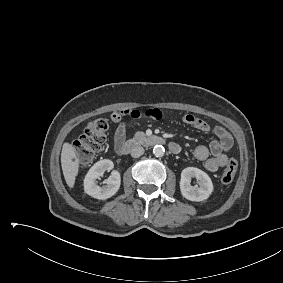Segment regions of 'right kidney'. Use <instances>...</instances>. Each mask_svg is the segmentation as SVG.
I'll use <instances>...</instances> for the list:
<instances>
[{
	"instance_id": "1",
	"label": "right kidney",
	"mask_w": 283,
	"mask_h": 283,
	"mask_svg": "<svg viewBox=\"0 0 283 283\" xmlns=\"http://www.w3.org/2000/svg\"><path fill=\"white\" fill-rule=\"evenodd\" d=\"M113 162L108 159H104L95 163L84 179V191L88 195L105 200L112 197L120 188L121 178L118 171H113L111 176H109L104 183L106 185L99 186L97 184V179L103 176L105 171H110L113 169Z\"/></svg>"
}]
</instances>
